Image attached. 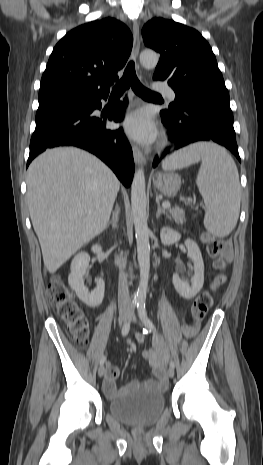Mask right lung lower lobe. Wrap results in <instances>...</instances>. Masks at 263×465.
<instances>
[{
	"label": "right lung lower lobe",
	"mask_w": 263,
	"mask_h": 465,
	"mask_svg": "<svg viewBox=\"0 0 263 465\" xmlns=\"http://www.w3.org/2000/svg\"><path fill=\"white\" fill-rule=\"evenodd\" d=\"M107 97L108 95L86 97L82 104L37 112L27 166L47 148L76 146L99 157L114 171L119 180L129 187L134 172V160L132 149L122 129L107 130L106 118L103 120L92 115L95 109H101L100 100ZM126 105L127 100L123 103L118 102L108 114V119L121 121Z\"/></svg>",
	"instance_id": "98d812e1"
}]
</instances>
